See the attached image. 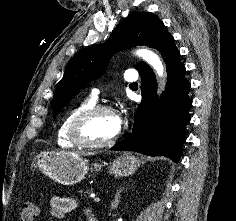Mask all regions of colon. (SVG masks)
Segmentation results:
<instances>
[{"label":"colon","mask_w":236,"mask_h":221,"mask_svg":"<svg viewBox=\"0 0 236 221\" xmlns=\"http://www.w3.org/2000/svg\"><path fill=\"white\" fill-rule=\"evenodd\" d=\"M40 213V208L37 204L31 201L23 202L19 208L20 221H36Z\"/></svg>","instance_id":"colon-1"}]
</instances>
